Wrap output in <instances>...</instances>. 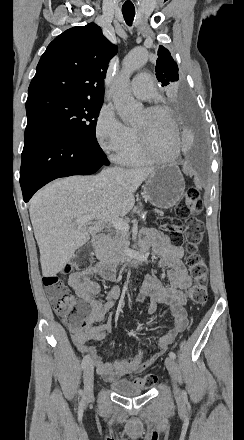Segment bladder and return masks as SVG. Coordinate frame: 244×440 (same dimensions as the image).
Returning a JSON list of instances; mask_svg holds the SVG:
<instances>
[{
	"instance_id": "31cf9c89",
	"label": "bladder",
	"mask_w": 244,
	"mask_h": 440,
	"mask_svg": "<svg viewBox=\"0 0 244 440\" xmlns=\"http://www.w3.org/2000/svg\"><path fill=\"white\" fill-rule=\"evenodd\" d=\"M112 388L114 392L122 395H137L143 393V388H139L133 382L127 380L112 382Z\"/></svg>"
}]
</instances>
